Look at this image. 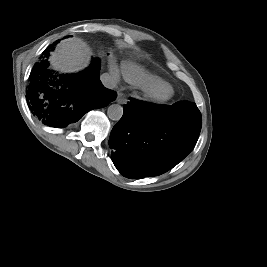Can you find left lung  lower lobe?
Masks as SVG:
<instances>
[{"instance_id": "1", "label": "left lung lower lobe", "mask_w": 267, "mask_h": 267, "mask_svg": "<svg viewBox=\"0 0 267 267\" xmlns=\"http://www.w3.org/2000/svg\"><path fill=\"white\" fill-rule=\"evenodd\" d=\"M201 126L195 103L157 105L131 98L110 134L112 161L127 178L158 176L190 153Z\"/></svg>"}]
</instances>
